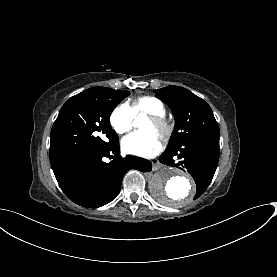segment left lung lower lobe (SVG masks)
Returning <instances> with one entry per match:
<instances>
[{
  "mask_svg": "<svg viewBox=\"0 0 277 277\" xmlns=\"http://www.w3.org/2000/svg\"><path fill=\"white\" fill-rule=\"evenodd\" d=\"M219 154V134H206L189 139L175 149H166L159 161L173 167L181 165L182 170L187 169L195 180L197 198L210 184L217 168ZM175 156L181 161L175 163Z\"/></svg>",
  "mask_w": 277,
  "mask_h": 277,
  "instance_id": "0a47b994",
  "label": "left lung lower lobe"
}]
</instances>
